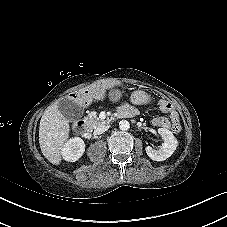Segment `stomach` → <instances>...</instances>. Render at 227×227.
<instances>
[{
    "label": "stomach",
    "instance_id": "obj_1",
    "mask_svg": "<svg viewBox=\"0 0 227 227\" xmlns=\"http://www.w3.org/2000/svg\"><path fill=\"white\" fill-rule=\"evenodd\" d=\"M110 96L113 100L117 101L122 97V92L119 89H112ZM149 101V95L142 90H136L131 94V102L133 104L143 105L149 103Z\"/></svg>",
    "mask_w": 227,
    "mask_h": 227
}]
</instances>
